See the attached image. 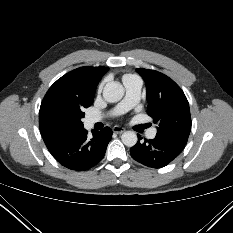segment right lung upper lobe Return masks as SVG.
<instances>
[{
  "instance_id": "cb5924a9",
  "label": "right lung upper lobe",
  "mask_w": 233,
  "mask_h": 233,
  "mask_svg": "<svg viewBox=\"0 0 233 233\" xmlns=\"http://www.w3.org/2000/svg\"><path fill=\"white\" fill-rule=\"evenodd\" d=\"M108 67H80L58 79L47 91L39 111L40 132L46 146L82 128L66 113L75 105L88 104Z\"/></svg>"
}]
</instances>
